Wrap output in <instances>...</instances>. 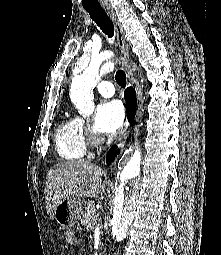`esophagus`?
Wrapping results in <instances>:
<instances>
[{"label": "esophagus", "mask_w": 221, "mask_h": 255, "mask_svg": "<svg viewBox=\"0 0 221 255\" xmlns=\"http://www.w3.org/2000/svg\"><path fill=\"white\" fill-rule=\"evenodd\" d=\"M106 11H107V14H108L109 18L113 22L114 27H115L116 36H117V40H118V44H119L121 53L123 54L124 58L128 62L129 58H130V55H129V46H128V44L126 42V39H125L123 26L120 23V21L118 20L115 12L112 9L107 8ZM125 72H126L128 84L130 86H132L133 83H134L133 75H132V71L130 69V66L127 65V64L125 66ZM127 130H128V122H126L124 124V126L122 127V129L119 132V136L117 138V145L118 146H120L121 143L123 142V140H124V138L126 136Z\"/></svg>", "instance_id": "esophagus-1"}]
</instances>
